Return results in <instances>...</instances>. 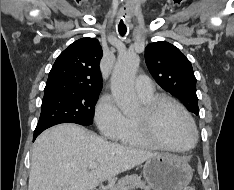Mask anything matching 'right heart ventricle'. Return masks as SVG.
Wrapping results in <instances>:
<instances>
[{
	"label": "right heart ventricle",
	"mask_w": 234,
	"mask_h": 190,
	"mask_svg": "<svg viewBox=\"0 0 234 190\" xmlns=\"http://www.w3.org/2000/svg\"><path fill=\"white\" fill-rule=\"evenodd\" d=\"M153 98H155L154 94L148 97H141L144 103L149 102ZM118 140L124 145L137 147V148H154L155 147V145H153L150 141H148L143 136L136 122V118L134 117H127L125 128L120 134Z\"/></svg>",
	"instance_id": "obj_1"
}]
</instances>
